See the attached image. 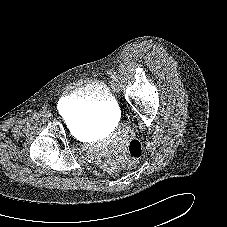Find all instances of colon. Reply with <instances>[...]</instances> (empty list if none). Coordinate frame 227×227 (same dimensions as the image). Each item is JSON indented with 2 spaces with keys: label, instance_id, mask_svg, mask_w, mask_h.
Here are the masks:
<instances>
[{
  "label": "colon",
  "instance_id": "1",
  "mask_svg": "<svg viewBox=\"0 0 227 227\" xmlns=\"http://www.w3.org/2000/svg\"><path fill=\"white\" fill-rule=\"evenodd\" d=\"M142 155V145L138 140H131L128 144L126 167L134 166Z\"/></svg>",
  "mask_w": 227,
  "mask_h": 227
}]
</instances>
